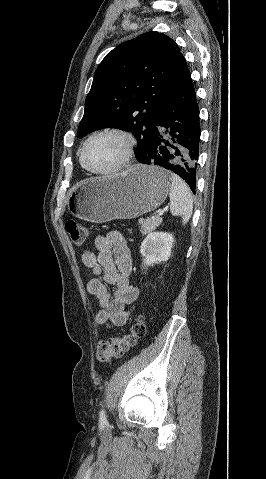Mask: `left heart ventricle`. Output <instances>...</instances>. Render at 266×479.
I'll return each instance as SVG.
<instances>
[{"label": "left heart ventricle", "mask_w": 266, "mask_h": 479, "mask_svg": "<svg viewBox=\"0 0 266 479\" xmlns=\"http://www.w3.org/2000/svg\"><path fill=\"white\" fill-rule=\"evenodd\" d=\"M124 149L125 142L119 136L104 135L98 137L88 148L87 163L95 170H108L120 161Z\"/></svg>", "instance_id": "1"}]
</instances>
